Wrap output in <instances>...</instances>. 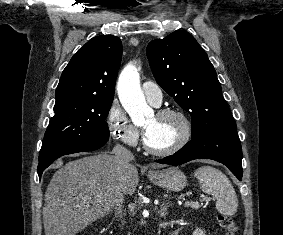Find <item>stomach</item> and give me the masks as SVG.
I'll return each mask as SVG.
<instances>
[{
    "label": "stomach",
    "instance_id": "stomach-1",
    "mask_svg": "<svg viewBox=\"0 0 283 235\" xmlns=\"http://www.w3.org/2000/svg\"><path fill=\"white\" fill-rule=\"evenodd\" d=\"M148 178L154 184L172 191L182 190L187 183L184 173L177 167L150 171Z\"/></svg>",
    "mask_w": 283,
    "mask_h": 235
}]
</instances>
